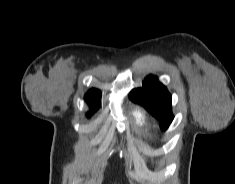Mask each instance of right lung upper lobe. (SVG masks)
<instances>
[{
	"mask_svg": "<svg viewBox=\"0 0 235 184\" xmlns=\"http://www.w3.org/2000/svg\"><path fill=\"white\" fill-rule=\"evenodd\" d=\"M100 98L101 92L97 89H90L85 95V100L91 107H99Z\"/></svg>",
	"mask_w": 235,
	"mask_h": 184,
	"instance_id": "obj_1",
	"label": "right lung upper lobe"
}]
</instances>
